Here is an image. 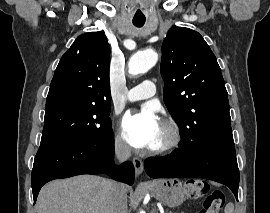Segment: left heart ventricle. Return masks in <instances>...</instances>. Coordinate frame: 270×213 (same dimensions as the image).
<instances>
[{
	"label": "left heart ventricle",
	"instance_id": "left-heart-ventricle-1",
	"mask_svg": "<svg viewBox=\"0 0 270 213\" xmlns=\"http://www.w3.org/2000/svg\"><path fill=\"white\" fill-rule=\"evenodd\" d=\"M164 136H165L164 128L160 124L159 130H158V134L156 136V139H155L152 147H155V146L159 145L160 143H162V141L164 139Z\"/></svg>",
	"mask_w": 270,
	"mask_h": 213
}]
</instances>
